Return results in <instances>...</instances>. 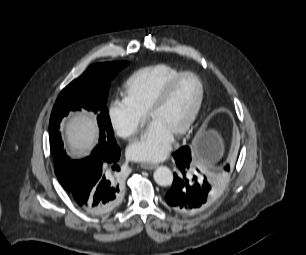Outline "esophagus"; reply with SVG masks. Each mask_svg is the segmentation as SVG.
<instances>
[{
    "instance_id": "esophagus-1",
    "label": "esophagus",
    "mask_w": 306,
    "mask_h": 255,
    "mask_svg": "<svg viewBox=\"0 0 306 255\" xmlns=\"http://www.w3.org/2000/svg\"><path fill=\"white\" fill-rule=\"evenodd\" d=\"M158 165L155 163H151V162H143L141 163V168L145 169V170H152L155 169Z\"/></svg>"
}]
</instances>
